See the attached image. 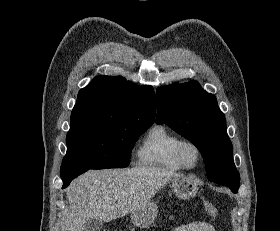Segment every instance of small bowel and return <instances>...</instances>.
Masks as SVG:
<instances>
[{"label":"small bowel","instance_id":"c3829d8e","mask_svg":"<svg viewBox=\"0 0 280 231\" xmlns=\"http://www.w3.org/2000/svg\"><path fill=\"white\" fill-rule=\"evenodd\" d=\"M172 231H216L215 227L206 221H193L187 224L179 225Z\"/></svg>","mask_w":280,"mask_h":231}]
</instances>
